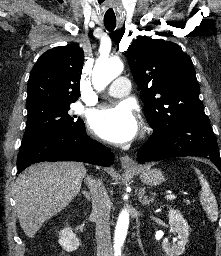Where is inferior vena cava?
<instances>
[{"label":"inferior vena cava","instance_id":"obj_1","mask_svg":"<svg viewBox=\"0 0 221 256\" xmlns=\"http://www.w3.org/2000/svg\"><path fill=\"white\" fill-rule=\"evenodd\" d=\"M91 194L92 215L96 223L97 256H113L110 236L111 202L101 180L87 177Z\"/></svg>","mask_w":221,"mask_h":256}]
</instances>
